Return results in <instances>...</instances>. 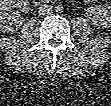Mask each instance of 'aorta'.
Masks as SVG:
<instances>
[{
    "label": "aorta",
    "mask_w": 111,
    "mask_h": 106,
    "mask_svg": "<svg viewBox=\"0 0 111 106\" xmlns=\"http://www.w3.org/2000/svg\"><path fill=\"white\" fill-rule=\"evenodd\" d=\"M55 11L58 12V13H62L63 12V6L62 5H57L55 7Z\"/></svg>",
    "instance_id": "aorta-1"
}]
</instances>
